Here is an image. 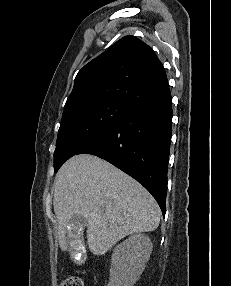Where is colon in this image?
Wrapping results in <instances>:
<instances>
[{"label": "colon", "mask_w": 231, "mask_h": 286, "mask_svg": "<svg viewBox=\"0 0 231 286\" xmlns=\"http://www.w3.org/2000/svg\"><path fill=\"white\" fill-rule=\"evenodd\" d=\"M60 286H84V283L78 276H67L62 280Z\"/></svg>", "instance_id": "obj_1"}]
</instances>
